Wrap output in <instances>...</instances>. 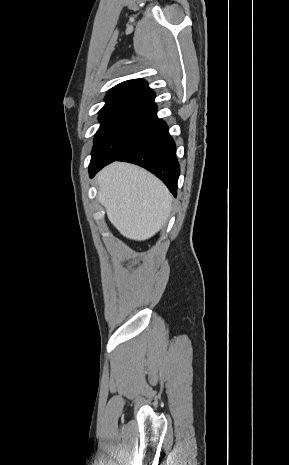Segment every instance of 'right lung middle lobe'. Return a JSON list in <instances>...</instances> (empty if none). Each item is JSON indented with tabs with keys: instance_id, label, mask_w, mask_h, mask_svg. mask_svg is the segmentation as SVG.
I'll list each match as a JSON object with an SVG mask.
<instances>
[{
	"instance_id": "dd1d6c3e",
	"label": "right lung middle lobe",
	"mask_w": 289,
	"mask_h": 465,
	"mask_svg": "<svg viewBox=\"0 0 289 465\" xmlns=\"http://www.w3.org/2000/svg\"><path fill=\"white\" fill-rule=\"evenodd\" d=\"M101 123L91 162L113 161L135 144L157 121V107L123 104L99 112Z\"/></svg>"
}]
</instances>
